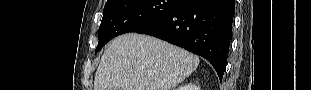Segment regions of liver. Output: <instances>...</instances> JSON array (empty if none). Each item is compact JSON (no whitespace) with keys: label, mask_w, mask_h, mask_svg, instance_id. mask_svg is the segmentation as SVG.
Instances as JSON below:
<instances>
[{"label":"liver","mask_w":311,"mask_h":90,"mask_svg":"<svg viewBox=\"0 0 311 90\" xmlns=\"http://www.w3.org/2000/svg\"><path fill=\"white\" fill-rule=\"evenodd\" d=\"M199 62L194 54L163 40L124 34L104 51L94 90H171L191 75Z\"/></svg>","instance_id":"1"}]
</instances>
